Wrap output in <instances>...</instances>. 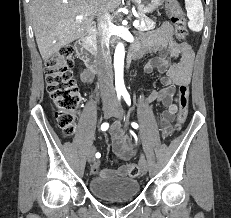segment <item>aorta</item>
Returning a JSON list of instances; mask_svg holds the SVG:
<instances>
[{
  "label": "aorta",
  "mask_w": 231,
  "mask_h": 218,
  "mask_svg": "<svg viewBox=\"0 0 231 218\" xmlns=\"http://www.w3.org/2000/svg\"><path fill=\"white\" fill-rule=\"evenodd\" d=\"M124 57L125 48L123 43H118L114 54L115 85L118 91L124 90Z\"/></svg>",
  "instance_id": "aorta-1"
}]
</instances>
